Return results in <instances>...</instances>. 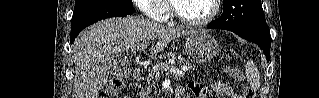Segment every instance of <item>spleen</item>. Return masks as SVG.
<instances>
[{"label":"spleen","mask_w":319,"mask_h":98,"mask_svg":"<svg viewBox=\"0 0 319 98\" xmlns=\"http://www.w3.org/2000/svg\"><path fill=\"white\" fill-rule=\"evenodd\" d=\"M245 74L250 86L254 90L259 89L261 85L260 73L253 61L250 60L246 63Z\"/></svg>","instance_id":"1"}]
</instances>
